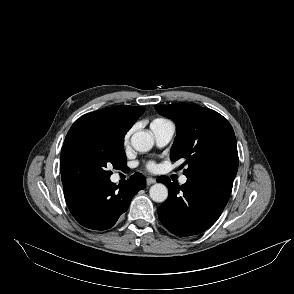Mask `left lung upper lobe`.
<instances>
[{
    "instance_id": "1",
    "label": "left lung upper lobe",
    "mask_w": 294,
    "mask_h": 294,
    "mask_svg": "<svg viewBox=\"0 0 294 294\" xmlns=\"http://www.w3.org/2000/svg\"><path fill=\"white\" fill-rule=\"evenodd\" d=\"M155 109L176 124L171 160H184L181 167L187 166L183 172L186 177L201 175L233 155L238 166L235 134L222 115L194 103L155 105Z\"/></svg>"
}]
</instances>
